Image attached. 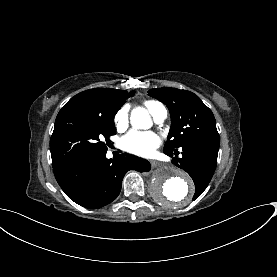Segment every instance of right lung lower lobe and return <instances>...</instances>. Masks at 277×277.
<instances>
[{
	"instance_id": "right-lung-lower-lobe-1",
	"label": "right lung lower lobe",
	"mask_w": 277,
	"mask_h": 277,
	"mask_svg": "<svg viewBox=\"0 0 277 277\" xmlns=\"http://www.w3.org/2000/svg\"><path fill=\"white\" fill-rule=\"evenodd\" d=\"M106 152L83 155L53 167L60 187L75 203L91 209L103 207L119 195L127 171L150 170L145 159L126 153L115 160L107 159Z\"/></svg>"
}]
</instances>
